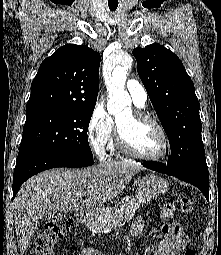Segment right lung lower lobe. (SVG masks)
Here are the masks:
<instances>
[{
    "instance_id": "obj_1",
    "label": "right lung lower lobe",
    "mask_w": 221,
    "mask_h": 255,
    "mask_svg": "<svg viewBox=\"0 0 221 255\" xmlns=\"http://www.w3.org/2000/svg\"><path fill=\"white\" fill-rule=\"evenodd\" d=\"M92 164L93 159L53 151L32 148L19 150L13 175V198L27 179L41 171L56 167H85Z\"/></svg>"
}]
</instances>
